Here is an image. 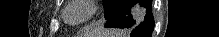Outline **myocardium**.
I'll return each mask as SVG.
<instances>
[{
  "mask_svg": "<svg viewBox=\"0 0 219 37\" xmlns=\"http://www.w3.org/2000/svg\"><path fill=\"white\" fill-rule=\"evenodd\" d=\"M75 3L84 4L85 6L88 7L89 12L84 18H82L78 21H71L67 17V11ZM97 12H98V2L97 1H94V0H73V1L69 2V4L67 5L66 10L64 11L63 17H64V20L70 25H82V24L86 23L87 21H89L94 15H96Z\"/></svg>",
  "mask_w": 219,
  "mask_h": 37,
  "instance_id": "obj_1",
  "label": "myocardium"
}]
</instances>
